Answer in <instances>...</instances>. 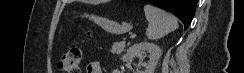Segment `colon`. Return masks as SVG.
Listing matches in <instances>:
<instances>
[{"instance_id":"1","label":"colon","mask_w":244,"mask_h":73,"mask_svg":"<svg viewBox=\"0 0 244 73\" xmlns=\"http://www.w3.org/2000/svg\"><path fill=\"white\" fill-rule=\"evenodd\" d=\"M82 51L78 47L68 49L60 58L58 67L63 73H80Z\"/></svg>"}]
</instances>
